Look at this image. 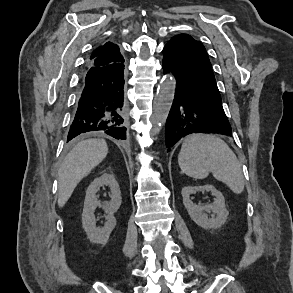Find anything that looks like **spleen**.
Returning a JSON list of instances; mask_svg holds the SVG:
<instances>
[{"instance_id": "spleen-1", "label": "spleen", "mask_w": 293, "mask_h": 293, "mask_svg": "<svg viewBox=\"0 0 293 293\" xmlns=\"http://www.w3.org/2000/svg\"><path fill=\"white\" fill-rule=\"evenodd\" d=\"M178 164L184 174L195 179L213 176L225 183L234 193L244 190L241 165L230 147L210 134L187 136L178 155Z\"/></svg>"}]
</instances>
